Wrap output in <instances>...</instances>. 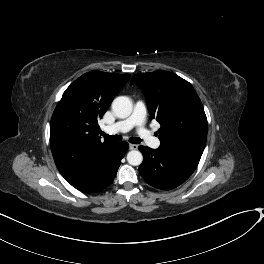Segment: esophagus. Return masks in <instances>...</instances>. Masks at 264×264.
<instances>
[{
  "label": "esophagus",
  "instance_id": "esophagus-1",
  "mask_svg": "<svg viewBox=\"0 0 264 264\" xmlns=\"http://www.w3.org/2000/svg\"><path fill=\"white\" fill-rule=\"evenodd\" d=\"M138 148V145L136 144H129V149L130 150H136Z\"/></svg>",
  "mask_w": 264,
  "mask_h": 264
}]
</instances>
